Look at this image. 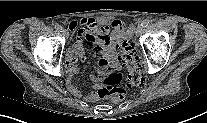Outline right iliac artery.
<instances>
[{
    "label": "right iliac artery",
    "instance_id": "82829eb1",
    "mask_svg": "<svg viewBox=\"0 0 207 123\" xmlns=\"http://www.w3.org/2000/svg\"><path fill=\"white\" fill-rule=\"evenodd\" d=\"M55 27H56L57 30H59L61 32L62 27L60 25H56Z\"/></svg>",
    "mask_w": 207,
    "mask_h": 123
}]
</instances>
